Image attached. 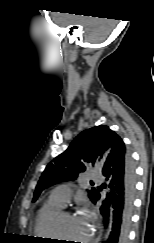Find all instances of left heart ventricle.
Instances as JSON below:
<instances>
[{
	"label": "left heart ventricle",
	"instance_id": "b2bd125f",
	"mask_svg": "<svg viewBox=\"0 0 154 243\" xmlns=\"http://www.w3.org/2000/svg\"><path fill=\"white\" fill-rule=\"evenodd\" d=\"M59 224L62 236L72 240L66 241L67 243H74V240L78 239L84 240L91 232L89 226L81 218L69 214H62Z\"/></svg>",
	"mask_w": 154,
	"mask_h": 243
}]
</instances>
